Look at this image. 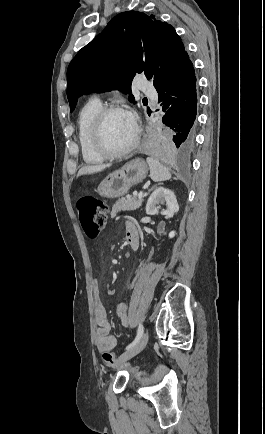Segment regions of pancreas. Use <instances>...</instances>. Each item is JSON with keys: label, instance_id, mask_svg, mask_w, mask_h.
<instances>
[{"label": "pancreas", "instance_id": "1", "mask_svg": "<svg viewBox=\"0 0 265 434\" xmlns=\"http://www.w3.org/2000/svg\"><path fill=\"white\" fill-rule=\"evenodd\" d=\"M143 198L141 200H135V198H119L115 204H113L111 218L116 216L117 212H125V210H137L142 206Z\"/></svg>", "mask_w": 265, "mask_h": 434}]
</instances>
